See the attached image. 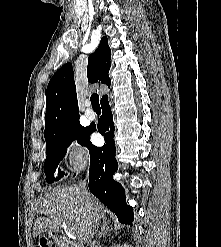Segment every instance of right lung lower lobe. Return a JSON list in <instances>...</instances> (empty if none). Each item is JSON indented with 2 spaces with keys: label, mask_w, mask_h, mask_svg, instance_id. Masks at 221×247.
<instances>
[{
  "label": "right lung lower lobe",
  "mask_w": 221,
  "mask_h": 247,
  "mask_svg": "<svg viewBox=\"0 0 221 247\" xmlns=\"http://www.w3.org/2000/svg\"><path fill=\"white\" fill-rule=\"evenodd\" d=\"M102 116L98 121V131L104 136L102 147L92 145L88 141L90 153L89 189L105 206L114 212L123 224L133 222V209L126 204L125 191L122 185L113 179L118 169L115 158L113 116L108 97L101 101ZM96 128L88 127L89 135Z\"/></svg>",
  "instance_id": "obj_1"
}]
</instances>
